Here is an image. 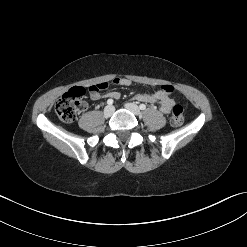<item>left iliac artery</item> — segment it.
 <instances>
[{"label": "left iliac artery", "mask_w": 247, "mask_h": 247, "mask_svg": "<svg viewBox=\"0 0 247 247\" xmlns=\"http://www.w3.org/2000/svg\"><path fill=\"white\" fill-rule=\"evenodd\" d=\"M139 108H140L141 110H145V109H146V105H145V104H140V105H139Z\"/></svg>", "instance_id": "44dca946"}]
</instances>
